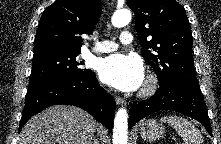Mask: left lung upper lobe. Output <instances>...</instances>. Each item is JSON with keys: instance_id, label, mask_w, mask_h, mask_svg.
<instances>
[{"instance_id": "obj_1", "label": "left lung upper lobe", "mask_w": 221, "mask_h": 144, "mask_svg": "<svg viewBox=\"0 0 221 144\" xmlns=\"http://www.w3.org/2000/svg\"><path fill=\"white\" fill-rule=\"evenodd\" d=\"M136 18L141 53L159 84L199 85L192 57V33L185 9L175 0H128Z\"/></svg>"}]
</instances>
